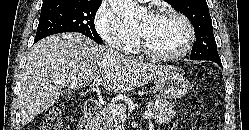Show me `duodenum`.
<instances>
[{
    "instance_id": "410a0bca",
    "label": "duodenum",
    "mask_w": 249,
    "mask_h": 130,
    "mask_svg": "<svg viewBox=\"0 0 249 130\" xmlns=\"http://www.w3.org/2000/svg\"><path fill=\"white\" fill-rule=\"evenodd\" d=\"M101 105L98 100L91 98L85 103L83 117L77 130H97V117L101 113Z\"/></svg>"
}]
</instances>
